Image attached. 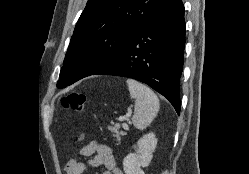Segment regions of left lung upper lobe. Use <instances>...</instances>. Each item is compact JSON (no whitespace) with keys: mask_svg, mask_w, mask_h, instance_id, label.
<instances>
[{"mask_svg":"<svg viewBox=\"0 0 249 174\" xmlns=\"http://www.w3.org/2000/svg\"><path fill=\"white\" fill-rule=\"evenodd\" d=\"M162 0H88L61 68L64 88L108 66L126 48Z\"/></svg>","mask_w":249,"mask_h":174,"instance_id":"1","label":"left lung upper lobe"}]
</instances>
